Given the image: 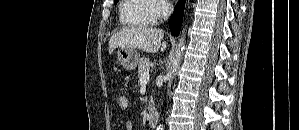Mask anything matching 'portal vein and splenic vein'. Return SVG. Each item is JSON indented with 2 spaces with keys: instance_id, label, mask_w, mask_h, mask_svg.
<instances>
[{
  "instance_id": "portal-vein-and-splenic-vein-1",
  "label": "portal vein and splenic vein",
  "mask_w": 299,
  "mask_h": 130,
  "mask_svg": "<svg viewBox=\"0 0 299 130\" xmlns=\"http://www.w3.org/2000/svg\"><path fill=\"white\" fill-rule=\"evenodd\" d=\"M149 77H150V75H149V72L147 71V72H145L144 74L141 75L140 82H144V83L148 82Z\"/></svg>"
}]
</instances>
